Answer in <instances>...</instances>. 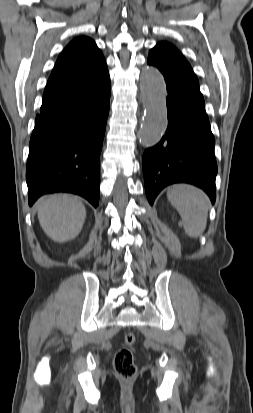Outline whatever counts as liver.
<instances>
[{"instance_id":"obj_1","label":"liver","mask_w":253,"mask_h":413,"mask_svg":"<svg viewBox=\"0 0 253 413\" xmlns=\"http://www.w3.org/2000/svg\"><path fill=\"white\" fill-rule=\"evenodd\" d=\"M38 220L45 234L55 242L76 238L86 218L85 206L68 194L43 197L37 204Z\"/></svg>"}]
</instances>
